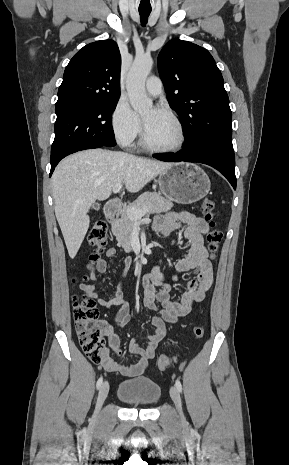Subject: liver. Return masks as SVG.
<instances>
[{
	"instance_id": "liver-1",
	"label": "liver",
	"mask_w": 289,
	"mask_h": 465,
	"mask_svg": "<svg viewBox=\"0 0 289 465\" xmlns=\"http://www.w3.org/2000/svg\"><path fill=\"white\" fill-rule=\"evenodd\" d=\"M173 164L125 152L84 150L63 159L52 176L57 221L69 256L73 259L89 229L87 215L96 200L110 197L117 183L136 193Z\"/></svg>"
}]
</instances>
